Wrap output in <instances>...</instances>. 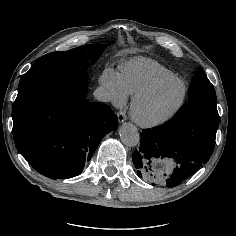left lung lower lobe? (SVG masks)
I'll list each match as a JSON object with an SVG mask.
<instances>
[{
	"label": "left lung lower lobe",
	"instance_id": "1",
	"mask_svg": "<svg viewBox=\"0 0 236 236\" xmlns=\"http://www.w3.org/2000/svg\"><path fill=\"white\" fill-rule=\"evenodd\" d=\"M218 125L216 104L193 101L181 107L166 124L144 129L140 133V147L133 153L138 175L150 179L153 177L152 162L173 158L177 166L165 180L166 186L179 185L209 160Z\"/></svg>",
	"mask_w": 236,
	"mask_h": 236
}]
</instances>
